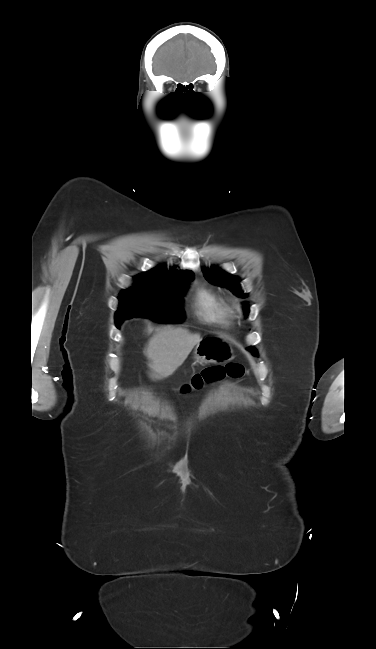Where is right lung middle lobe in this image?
<instances>
[{"mask_svg":"<svg viewBox=\"0 0 376 649\" xmlns=\"http://www.w3.org/2000/svg\"><path fill=\"white\" fill-rule=\"evenodd\" d=\"M193 277V273L165 277L136 276L133 287L119 295L120 304L115 314L117 327L132 317H148L163 323L183 321L182 295Z\"/></svg>","mask_w":376,"mask_h":649,"instance_id":"right-lung-middle-lobe-1","label":"right lung middle lobe"}]
</instances>
